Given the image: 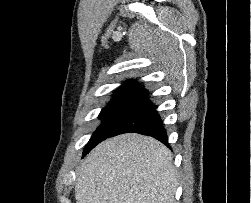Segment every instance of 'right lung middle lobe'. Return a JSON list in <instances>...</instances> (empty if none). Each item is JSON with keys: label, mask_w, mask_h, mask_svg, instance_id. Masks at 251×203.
Segmentation results:
<instances>
[{"label": "right lung middle lobe", "mask_w": 251, "mask_h": 203, "mask_svg": "<svg viewBox=\"0 0 251 203\" xmlns=\"http://www.w3.org/2000/svg\"><path fill=\"white\" fill-rule=\"evenodd\" d=\"M142 112L138 108L105 107L99 115V118L103 119V123L98 127L84 148L83 157L98 143L108 138L118 127Z\"/></svg>", "instance_id": "obj_1"}]
</instances>
